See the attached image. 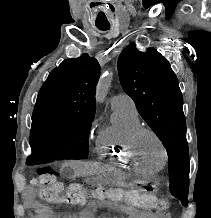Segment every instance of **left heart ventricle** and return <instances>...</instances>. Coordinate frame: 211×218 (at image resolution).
Listing matches in <instances>:
<instances>
[{"label":"left heart ventricle","mask_w":211,"mask_h":218,"mask_svg":"<svg viewBox=\"0 0 211 218\" xmlns=\"http://www.w3.org/2000/svg\"><path fill=\"white\" fill-rule=\"evenodd\" d=\"M139 158L153 165H160L162 156L161 149L157 141L150 134H143L138 147Z\"/></svg>","instance_id":"obj_1"}]
</instances>
